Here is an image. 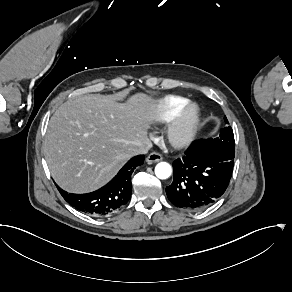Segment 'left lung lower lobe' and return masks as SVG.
Segmentation results:
<instances>
[{"label":"left lung lower lobe","mask_w":292,"mask_h":292,"mask_svg":"<svg viewBox=\"0 0 292 292\" xmlns=\"http://www.w3.org/2000/svg\"><path fill=\"white\" fill-rule=\"evenodd\" d=\"M202 142H192L183 158L173 162V182L166 187L170 202L186 211H199L215 203L232 176L234 155L201 148Z\"/></svg>","instance_id":"obj_1"}]
</instances>
